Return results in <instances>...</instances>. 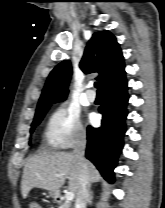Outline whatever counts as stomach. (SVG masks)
Here are the masks:
<instances>
[{
    "instance_id": "obj_1",
    "label": "stomach",
    "mask_w": 165,
    "mask_h": 208,
    "mask_svg": "<svg viewBox=\"0 0 165 208\" xmlns=\"http://www.w3.org/2000/svg\"><path fill=\"white\" fill-rule=\"evenodd\" d=\"M49 194H50V196L53 197V198H57L58 195H59V193L54 192V191H50Z\"/></svg>"
}]
</instances>
